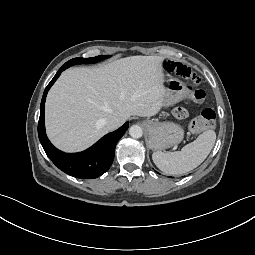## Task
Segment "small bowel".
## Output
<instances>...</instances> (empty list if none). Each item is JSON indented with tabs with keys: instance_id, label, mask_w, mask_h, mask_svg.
Segmentation results:
<instances>
[{
	"instance_id": "small-bowel-1",
	"label": "small bowel",
	"mask_w": 255,
	"mask_h": 255,
	"mask_svg": "<svg viewBox=\"0 0 255 255\" xmlns=\"http://www.w3.org/2000/svg\"><path fill=\"white\" fill-rule=\"evenodd\" d=\"M172 116L176 122L182 123L188 119L189 113L185 107L179 106L173 110Z\"/></svg>"
}]
</instances>
